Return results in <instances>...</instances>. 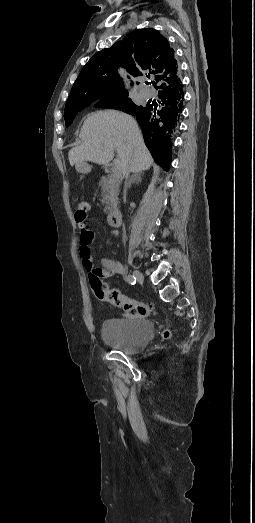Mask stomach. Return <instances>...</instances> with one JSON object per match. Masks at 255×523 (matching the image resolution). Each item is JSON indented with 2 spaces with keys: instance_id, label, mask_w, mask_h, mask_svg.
Segmentation results:
<instances>
[{
  "instance_id": "obj_1",
  "label": "stomach",
  "mask_w": 255,
  "mask_h": 523,
  "mask_svg": "<svg viewBox=\"0 0 255 523\" xmlns=\"http://www.w3.org/2000/svg\"><path fill=\"white\" fill-rule=\"evenodd\" d=\"M80 173H81V175H83V176H88V175H90V173H91V168H90V166H88V165H83V166H81V168H80Z\"/></svg>"
}]
</instances>
